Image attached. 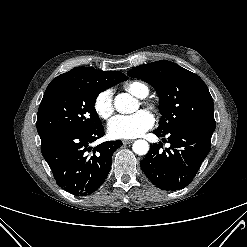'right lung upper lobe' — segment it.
<instances>
[{
  "label": "right lung upper lobe",
  "mask_w": 247,
  "mask_h": 247,
  "mask_svg": "<svg viewBox=\"0 0 247 247\" xmlns=\"http://www.w3.org/2000/svg\"><path fill=\"white\" fill-rule=\"evenodd\" d=\"M72 79L101 82L112 87L119 82L127 80V77L119 71H99L89 67H76L54 78L48 86L50 87L57 83Z\"/></svg>",
  "instance_id": "obj_1"
}]
</instances>
